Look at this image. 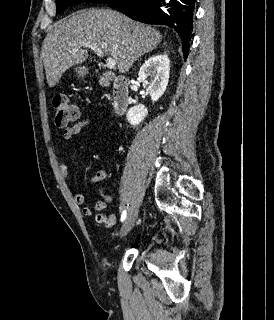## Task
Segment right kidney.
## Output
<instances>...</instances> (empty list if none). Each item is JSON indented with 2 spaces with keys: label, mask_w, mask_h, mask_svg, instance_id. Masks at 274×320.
<instances>
[{
  "label": "right kidney",
  "mask_w": 274,
  "mask_h": 320,
  "mask_svg": "<svg viewBox=\"0 0 274 320\" xmlns=\"http://www.w3.org/2000/svg\"><path fill=\"white\" fill-rule=\"evenodd\" d=\"M170 60L167 54H154L139 70V80L146 88L151 100L157 102L163 96L169 80ZM150 76V82L147 80ZM148 116V108L146 106H133L129 108L126 114L130 126H139Z\"/></svg>",
  "instance_id": "obj_1"
}]
</instances>
